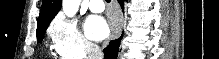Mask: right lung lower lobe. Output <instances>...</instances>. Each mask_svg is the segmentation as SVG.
<instances>
[{
    "label": "right lung lower lobe",
    "instance_id": "1",
    "mask_svg": "<svg viewBox=\"0 0 219 59\" xmlns=\"http://www.w3.org/2000/svg\"><path fill=\"white\" fill-rule=\"evenodd\" d=\"M118 2L121 3V7L123 8L124 0H118ZM120 40L121 37L119 39L110 41L109 45L104 49V59H117Z\"/></svg>",
    "mask_w": 219,
    "mask_h": 59
}]
</instances>
